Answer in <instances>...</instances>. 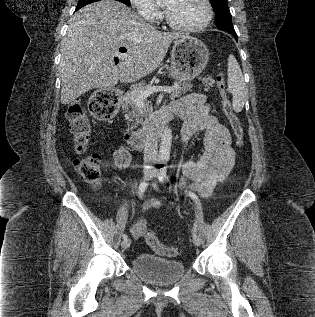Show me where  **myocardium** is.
Segmentation results:
<instances>
[{"mask_svg":"<svg viewBox=\"0 0 315 317\" xmlns=\"http://www.w3.org/2000/svg\"><path fill=\"white\" fill-rule=\"evenodd\" d=\"M203 3L205 4V7H206V17L202 23H200L198 25H194V26L181 25V24L176 23L168 15V13L165 11L164 18H165L166 23L170 27H172L173 29L180 30V31L196 32V31L203 30L204 28H206L210 24V22L213 18V7H212L210 0H203Z\"/></svg>","mask_w":315,"mask_h":317,"instance_id":"1","label":"myocardium"}]
</instances>
